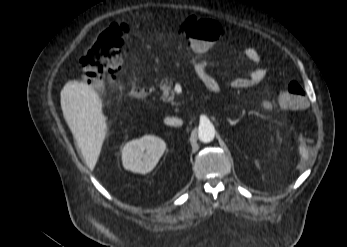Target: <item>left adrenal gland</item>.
<instances>
[{
    "label": "left adrenal gland",
    "mask_w": 347,
    "mask_h": 247,
    "mask_svg": "<svg viewBox=\"0 0 347 247\" xmlns=\"http://www.w3.org/2000/svg\"><path fill=\"white\" fill-rule=\"evenodd\" d=\"M241 118L235 119V120H231L230 118H227V121L230 123V125H236V123H238L240 121Z\"/></svg>",
    "instance_id": "1"
}]
</instances>
